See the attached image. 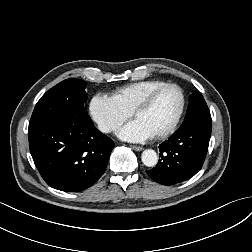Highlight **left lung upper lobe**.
<instances>
[{"label": "left lung upper lobe", "instance_id": "obj_1", "mask_svg": "<svg viewBox=\"0 0 252 252\" xmlns=\"http://www.w3.org/2000/svg\"><path fill=\"white\" fill-rule=\"evenodd\" d=\"M194 122H211L208 106L201 93L197 91H193L189 99V106L181 127Z\"/></svg>", "mask_w": 252, "mask_h": 252}]
</instances>
